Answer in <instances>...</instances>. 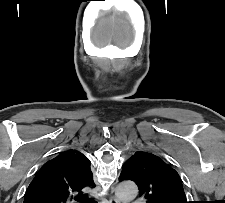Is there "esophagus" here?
Masks as SVG:
<instances>
[{
    "label": "esophagus",
    "mask_w": 225,
    "mask_h": 203,
    "mask_svg": "<svg viewBox=\"0 0 225 203\" xmlns=\"http://www.w3.org/2000/svg\"><path fill=\"white\" fill-rule=\"evenodd\" d=\"M109 203H120L119 201H118V199L117 198H115V197H110V199H109Z\"/></svg>",
    "instance_id": "34e87169"
}]
</instances>
